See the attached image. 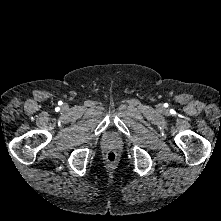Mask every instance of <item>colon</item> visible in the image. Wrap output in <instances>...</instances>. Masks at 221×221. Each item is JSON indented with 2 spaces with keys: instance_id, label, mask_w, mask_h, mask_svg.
Returning <instances> with one entry per match:
<instances>
[{
  "instance_id": "1",
  "label": "colon",
  "mask_w": 221,
  "mask_h": 221,
  "mask_svg": "<svg viewBox=\"0 0 221 221\" xmlns=\"http://www.w3.org/2000/svg\"><path fill=\"white\" fill-rule=\"evenodd\" d=\"M106 161L109 165H113L116 162V154L114 152H108L106 154Z\"/></svg>"
}]
</instances>
